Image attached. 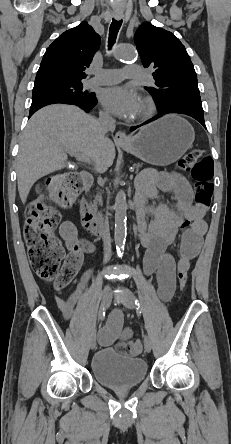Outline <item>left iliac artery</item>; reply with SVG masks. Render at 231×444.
<instances>
[{
  "mask_svg": "<svg viewBox=\"0 0 231 444\" xmlns=\"http://www.w3.org/2000/svg\"><path fill=\"white\" fill-rule=\"evenodd\" d=\"M135 304H136V306H137V310H138V312H139V313H142V307H141V305H140V303H139V300H138L137 298H135Z\"/></svg>",
  "mask_w": 231,
  "mask_h": 444,
  "instance_id": "1",
  "label": "left iliac artery"
}]
</instances>
